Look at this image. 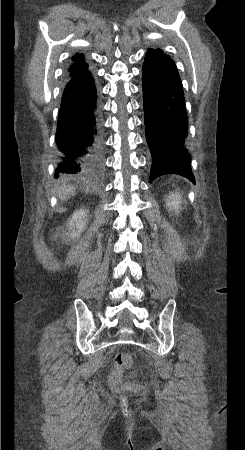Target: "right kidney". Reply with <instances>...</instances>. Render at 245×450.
Segmentation results:
<instances>
[{"instance_id":"obj_1","label":"right kidney","mask_w":245,"mask_h":450,"mask_svg":"<svg viewBox=\"0 0 245 450\" xmlns=\"http://www.w3.org/2000/svg\"><path fill=\"white\" fill-rule=\"evenodd\" d=\"M86 210L80 209L73 213L72 218L67 223V227L71 229L70 236L74 239L80 235L86 227ZM76 227V230H73ZM69 236V234H67Z\"/></svg>"}]
</instances>
